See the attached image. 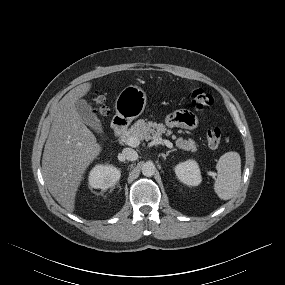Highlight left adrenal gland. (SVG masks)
I'll use <instances>...</instances> for the list:
<instances>
[{
	"label": "left adrenal gland",
	"mask_w": 285,
	"mask_h": 285,
	"mask_svg": "<svg viewBox=\"0 0 285 285\" xmlns=\"http://www.w3.org/2000/svg\"><path fill=\"white\" fill-rule=\"evenodd\" d=\"M173 151H176V149L168 150V151L166 152V154L162 153L161 156H162V157L164 158V160H165L166 157H167L171 152H173Z\"/></svg>",
	"instance_id": "left-adrenal-gland-1"
}]
</instances>
